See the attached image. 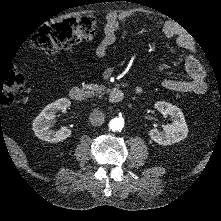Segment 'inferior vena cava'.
<instances>
[{"mask_svg": "<svg viewBox=\"0 0 221 221\" xmlns=\"http://www.w3.org/2000/svg\"><path fill=\"white\" fill-rule=\"evenodd\" d=\"M105 121V115L100 110H94L90 113L89 122L93 126H101Z\"/></svg>", "mask_w": 221, "mask_h": 221, "instance_id": "602c4592", "label": "inferior vena cava"}]
</instances>
